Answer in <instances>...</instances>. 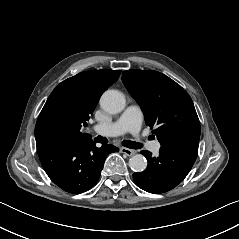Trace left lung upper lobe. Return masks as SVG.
Masks as SVG:
<instances>
[{"instance_id": "1", "label": "left lung upper lobe", "mask_w": 239, "mask_h": 239, "mask_svg": "<svg viewBox=\"0 0 239 239\" xmlns=\"http://www.w3.org/2000/svg\"><path fill=\"white\" fill-rule=\"evenodd\" d=\"M122 81L161 145L199 143L200 123L194 104L179 84L160 72L136 69L124 71Z\"/></svg>"}]
</instances>
